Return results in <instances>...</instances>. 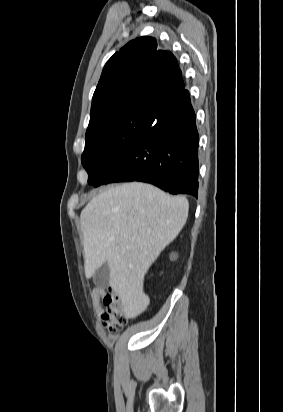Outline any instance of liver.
Here are the masks:
<instances>
[{
	"instance_id": "obj_1",
	"label": "liver",
	"mask_w": 283,
	"mask_h": 412,
	"mask_svg": "<svg viewBox=\"0 0 283 412\" xmlns=\"http://www.w3.org/2000/svg\"><path fill=\"white\" fill-rule=\"evenodd\" d=\"M188 210L184 196L172 197L139 182L112 186L82 210L85 275L91 278L108 263L109 283L126 318L136 317L148 306L144 276L183 229Z\"/></svg>"
}]
</instances>
